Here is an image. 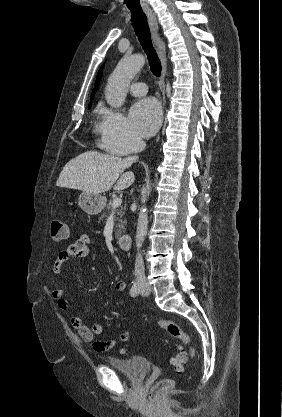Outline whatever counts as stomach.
Segmentation results:
<instances>
[{
	"label": "stomach",
	"mask_w": 282,
	"mask_h": 417,
	"mask_svg": "<svg viewBox=\"0 0 282 417\" xmlns=\"http://www.w3.org/2000/svg\"><path fill=\"white\" fill-rule=\"evenodd\" d=\"M81 209L88 213V215H98L106 206L107 198L102 194H94V192H81L78 198Z\"/></svg>",
	"instance_id": "stomach-1"
}]
</instances>
